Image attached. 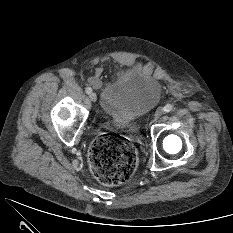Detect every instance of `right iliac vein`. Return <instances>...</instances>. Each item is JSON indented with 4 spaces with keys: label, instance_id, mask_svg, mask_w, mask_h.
<instances>
[{
    "label": "right iliac vein",
    "instance_id": "right-iliac-vein-1",
    "mask_svg": "<svg viewBox=\"0 0 233 233\" xmlns=\"http://www.w3.org/2000/svg\"><path fill=\"white\" fill-rule=\"evenodd\" d=\"M89 98L92 102H95L97 100V95L95 93H90Z\"/></svg>",
    "mask_w": 233,
    "mask_h": 233
}]
</instances>
